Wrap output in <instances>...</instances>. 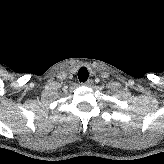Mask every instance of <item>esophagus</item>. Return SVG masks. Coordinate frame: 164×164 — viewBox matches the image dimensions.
Here are the masks:
<instances>
[{"mask_svg":"<svg viewBox=\"0 0 164 164\" xmlns=\"http://www.w3.org/2000/svg\"><path fill=\"white\" fill-rule=\"evenodd\" d=\"M85 86H88V87H91L92 86V84H93V80L92 79H90V80H88V81H86L85 83H83Z\"/></svg>","mask_w":164,"mask_h":164,"instance_id":"1","label":"esophagus"}]
</instances>
